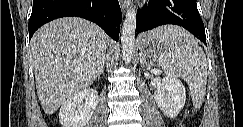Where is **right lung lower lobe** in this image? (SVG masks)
<instances>
[{
  "label": "right lung lower lobe",
  "instance_id": "right-lung-lower-lobe-1",
  "mask_svg": "<svg viewBox=\"0 0 243 127\" xmlns=\"http://www.w3.org/2000/svg\"><path fill=\"white\" fill-rule=\"evenodd\" d=\"M68 16L90 20L118 41L121 9L118 0H33L29 20V40L47 22Z\"/></svg>",
  "mask_w": 243,
  "mask_h": 127
}]
</instances>
